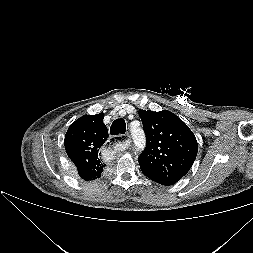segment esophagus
Here are the masks:
<instances>
[{
  "label": "esophagus",
  "mask_w": 253,
  "mask_h": 253,
  "mask_svg": "<svg viewBox=\"0 0 253 253\" xmlns=\"http://www.w3.org/2000/svg\"><path fill=\"white\" fill-rule=\"evenodd\" d=\"M123 138H124L123 143H125L126 146H130V144L132 142L131 141V135L129 133H126Z\"/></svg>",
  "instance_id": "1"
}]
</instances>
